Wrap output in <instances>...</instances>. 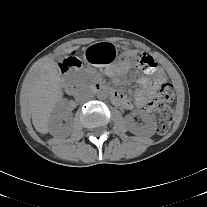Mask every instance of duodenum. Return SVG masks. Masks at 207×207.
Instances as JSON below:
<instances>
[{
	"instance_id": "1",
	"label": "duodenum",
	"mask_w": 207,
	"mask_h": 207,
	"mask_svg": "<svg viewBox=\"0 0 207 207\" xmlns=\"http://www.w3.org/2000/svg\"><path fill=\"white\" fill-rule=\"evenodd\" d=\"M93 91L95 92H109L111 94V96L114 98L115 97V92H112L108 89V87H106L105 85L101 84V83H95L92 86ZM67 90L68 92H70L71 94H77L78 92V88L77 86L71 84L67 86Z\"/></svg>"
}]
</instances>
